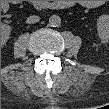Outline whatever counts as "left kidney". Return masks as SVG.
Returning a JSON list of instances; mask_svg holds the SVG:
<instances>
[{"label": "left kidney", "instance_id": "1", "mask_svg": "<svg viewBox=\"0 0 109 109\" xmlns=\"http://www.w3.org/2000/svg\"><path fill=\"white\" fill-rule=\"evenodd\" d=\"M109 18L107 15H102L97 20L98 35L101 39L108 38Z\"/></svg>", "mask_w": 109, "mask_h": 109}]
</instances>
